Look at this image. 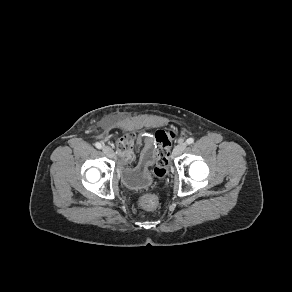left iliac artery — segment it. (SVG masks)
<instances>
[{"label": "left iliac artery", "mask_w": 292, "mask_h": 292, "mask_svg": "<svg viewBox=\"0 0 292 292\" xmlns=\"http://www.w3.org/2000/svg\"><path fill=\"white\" fill-rule=\"evenodd\" d=\"M186 143H187L188 145L194 143V138H188V139L186 140Z\"/></svg>", "instance_id": "1"}]
</instances>
